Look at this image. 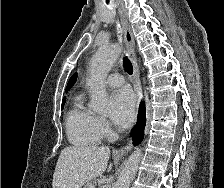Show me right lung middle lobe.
I'll return each mask as SVG.
<instances>
[{
  "label": "right lung middle lobe",
  "instance_id": "obj_1",
  "mask_svg": "<svg viewBox=\"0 0 224 188\" xmlns=\"http://www.w3.org/2000/svg\"><path fill=\"white\" fill-rule=\"evenodd\" d=\"M64 103H65V102H62V109H63Z\"/></svg>",
  "mask_w": 224,
  "mask_h": 188
}]
</instances>
